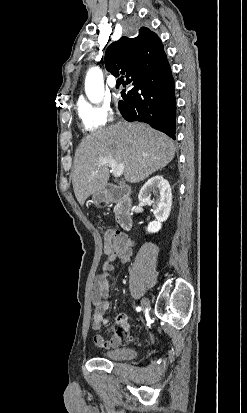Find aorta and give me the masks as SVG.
I'll use <instances>...</instances> for the list:
<instances>
[{
	"label": "aorta",
	"instance_id": "1",
	"mask_svg": "<svg viewBox=\"0 0 247 413\" xmlns=\"http://www.w3.org/2000/svg\"><path fill=\"white\" fill-rule=\"evenodd\" d=\"M85 92L88 99L93 103L102 100L104 94L103 73L99 67L91 68L85 80Z\"/></svg>",
	"mask_w": 247,
	"mask_h": 413
}]
</instances>
